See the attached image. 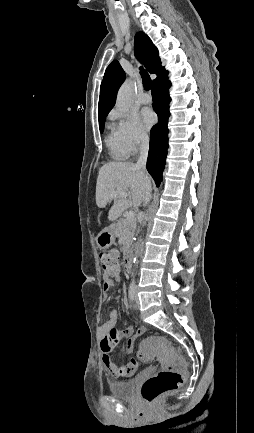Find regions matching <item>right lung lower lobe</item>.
<instances>
[{
	"instance_id": "1",
	"label": "right lung lower lobe",
	"mask_w": 254,
	"mask_h": 433,
	"mask_svg": "<svg viewBox=\"0 0 254 433\" xmlns=\"http://www.w3.org/2000/svg\"><path fill=\"white\" fill-rule=\"evenodd\" d=\"M167 74L155 82L152 87L153 109L158 115V123L152 127L150 133L147 170L155 180L156 186H159L162 180L168 148L167 123L170 116L169 102L171 101L168 90L171 83L166 78Z\"/></svg>"
}]
</instances>
